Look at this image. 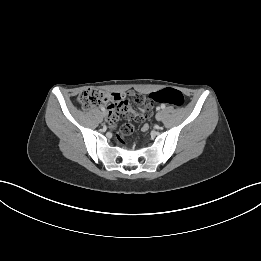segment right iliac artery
<instances>
[{
	"label": "right iliac artery",
	"mask_w": 261,
	"mask_h": 261,
	"mask_svg": "<svg viewBox=\"0 0 261 261\" xmlns=\"http://www.w3.org/2000/svg\"><path fill=\"white\" fill-rule=\"evenodd\" d=\"M101 110H102V111H105V108H104V107H101Z\"/></svg>",
	"instance_id": "obj_1"
}]
</instances>
